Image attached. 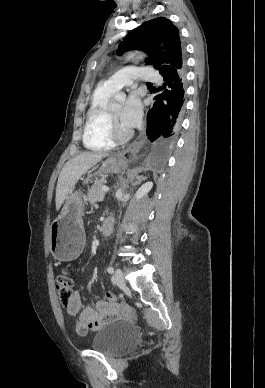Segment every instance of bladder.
<instances>
[{
  "label": "bladder",
  "mask_w": 265,
  "mask_h": 388,
  "mask_svg": "<svg viewBox=\"0 0 265 388\" xmlns=\"http://www.w3.org/2000/svg\"><path fill=\"white\" fill-rule=\"evenodd\" d=\"M134 335L132 324L122 320L114 321L96 332L91 345L95 351L113 355L117 351H126Z\"/></svg>",
  "instance_id": "1"
}]
</instances>
